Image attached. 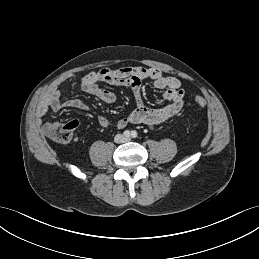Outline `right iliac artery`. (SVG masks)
<instances>
[{"instance_id": "obj_1", "label": "right iliac artery", "mask_w": 259, "mask_h": 259, "mask_svg": "<svg viewBox=\"0 0 259 259\" xmlns=\"http://www.w3.org/2000/svg\"><path fill=\"white\" fill-rule=\"evenodd\" d=\"M123 135L125 137H129L130 136V131H128V130L124 131Z\"/></svg>"}]
</instances>
